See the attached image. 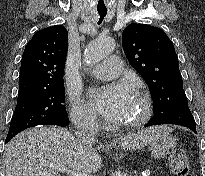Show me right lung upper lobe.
I'll use <instances>...</instances> for the list:
<instances>
[{"instance_id": "right-lung-upper-lobe-1", "label": "right lung upper lobe", "mask_w": 205, "mask_h": 176, "mask_svg": "<svg viewBox=\"0 0 205 176\" xmlns=\"http://www.w3.org/2000/svg\"><path fill=\"white\" fill-rule=\"evenodd\" d=\"M67 49L68 32L64 26L36 32L23 52L18 94L64 84Z\"/></svg>"}]
</instances>
